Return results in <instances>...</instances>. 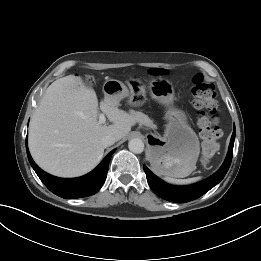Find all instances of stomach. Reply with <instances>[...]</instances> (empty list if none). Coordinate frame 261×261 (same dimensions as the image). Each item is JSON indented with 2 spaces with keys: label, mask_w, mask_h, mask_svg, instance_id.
I'll return each mask as SVG.
<instances>
[{
  "label": "stomach",
  "mask_w": 261,
  "mask_h": 261,
  "mask_svg": "<svg viewBox=\"0 0 261 261\" xmlns=\"http://www.w3.org/2000/svg\"><path fill=\"white\" fill-rule=\"evenodd\" d=\"M105 98L118 104L128 97V103L141 106L146 100L144 94L129 92L121 81L110 79L104 83ZM153 99L167 107L164 136L148 135V159L151 167L159 174L176 178L190 175L196 168L200 143L196 133L189 126L186 114L173 107L174 88L165 78H156L149 83Z\"/></svg>",
  "instance_id": "1"
}]
</instances>
